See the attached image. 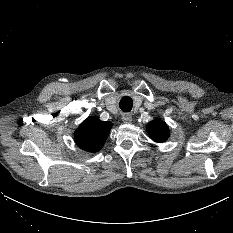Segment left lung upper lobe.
<instances>
[{
	"label": "left lung upper lobe",
	"mask_w": 233,
	"mask_h": 233,
	"mask_svg": "<svg viewBox=\"0 0 233 233\" xmlns=\"http://www.w3.org/2000/svg\"><path fill=\"white\" fill-rule=\"evenodd\" d=\"M147 132L155 142L159 143L166 141L169 137L168 126L159 119H156L148 124Z\"/></svg>",
	"instance_id": "5c2ea615"
}]
</instances>
